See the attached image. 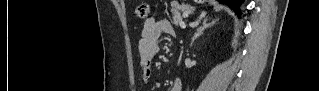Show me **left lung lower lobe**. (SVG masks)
Segmentation results:
<instances>
[{"instance_id": "1", "label": "left lung lower lobe", "mask_w": 319, "mask_h": 91, "mask_svg": "<svg viewBox=\"0 0 319 91\" xmlns=\"http://www.w3.org/2000/svg\"><path fill=\"white\" fill-rule=\"evenodd\" d=\"M223 3H226L230 8H232L238 16H240L239 6L242 3V0H218Z\"/></svg>"}]
</instances>
